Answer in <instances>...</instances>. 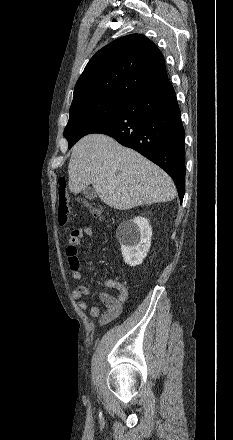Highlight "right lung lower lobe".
Returning a JSON list of instances; mask_svg holds the SVG:
<instances>
[{"label":"right lung lower lobe","instance_id":"1","mask_svg":"<svg viewBox=\"0 0 233 440\" xmlns=\"http://www.w3.org/2000/svg\"><path fill=\"white\" fill-rule=\"evenodd\" d=\"M93 133L109 135L159 165L174 180L182 202L185 132L170 81L132 97L113 119Z\"/></svg>","mask_w":233,"mask_h":440}]
</instances>
